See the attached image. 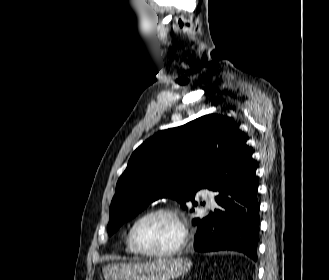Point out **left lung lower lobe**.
I'll use <instances>...</instances> for the list:
<instances>
[{
	"label": "left lung lower lobe",
	"mask_w": 329,
	"mask_h": 280,
	"mask_svg": "<svg viewBox=\"0 0 329 280\" xmlns=\"http://www.w3.org/2000/svg\"><path fill=\"white\" fill-rule=\"evenodd\" d=\"M241 168L215 200L219 207L197 223L194 249L200 252L234 250L257 260L259 204L252 151L241 149Z\"/></svg>",
	"instance_id": "1"
}]
</instances>
